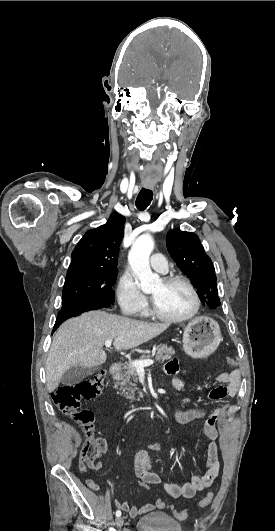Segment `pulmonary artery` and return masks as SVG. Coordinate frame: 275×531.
<instances>
[{
	"mask_svg": "<svg viewBox=\"0 0 275 531\" xmlns=\"http://www.w3.org/2000/svg\"><path fill=\"white\" fill-rule=\"evenodd\" d=\"M151 263L154 267L153 272L157 276H165L168 274L169 269L165 263V256L163 254H154V256H151Z\"/></svg>",
	"mask_w": 275,
	"mask_h": 531,
	"instance_id": "obj_1",
	"label": "pulmonary artery"
}]
</instances>
